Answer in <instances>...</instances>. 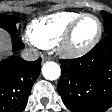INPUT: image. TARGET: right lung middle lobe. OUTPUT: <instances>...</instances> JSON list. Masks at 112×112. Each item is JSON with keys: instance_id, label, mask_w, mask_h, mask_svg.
<instances>
[{"instance_id": "right-lung-middle-lobe-1", "label": "right lung middle lobe", "mask_w": 112, "mask_h": 112, "mask_svg": "<svg viewBox=\"0 0 112 112\" xmlns=\"http://www.w3.org/2000/svg\"><path fill=\"white\" fill-rule=\"evenodd\" d=\"M19 22V19L13 15H0V27L5 29L10 33L12 37H17L16 24Z\"/></svg>"}]
</instances>
